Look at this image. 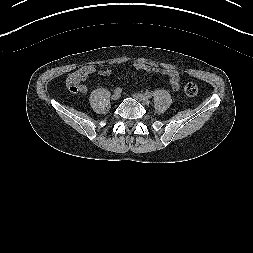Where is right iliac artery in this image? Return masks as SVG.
Masks as SVG:
<instances>
[{"mask_svg": "<svg viewBox=\"0 0 253 253\" xmlns=\"http://www.w3.org/2000/svg\"><path fill=\"white\" fill-rule=\"evenodd\" d=\"M114 92L115 93H117V94H120L121 92H122V88H116L115 90H114Z\"/></svg>", "mask_w": 253, "mask_h": 253, "instance_id": "right-iliac-artery-1", "label": "right iliac artery"}]
</instances>
